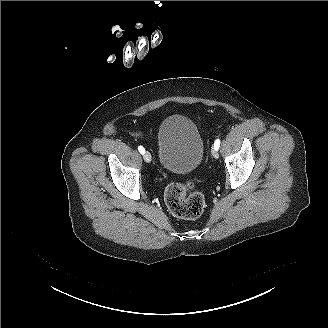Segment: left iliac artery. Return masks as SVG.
<instances>
[{"label": "left iliac artery", "mask_w": 328, "mask_h": 328, "mask_svg": "<svg viewBox=\"0 0 328 328\" xmlns=\"http://www.w3.org/2000/svg\"><path fill=\"white\" fill-rule=\"evenodd\" d=\"M219 147H220V140L216 139L215 142H214V148H216L218 150Z\"/></svg>", "instance_id": "left-iliac-artery-1"}]
</instances>
